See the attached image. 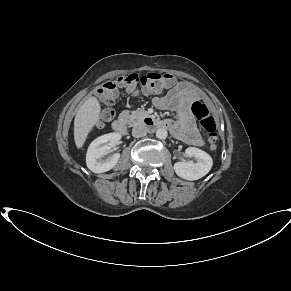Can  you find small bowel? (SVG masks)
<instances>
[{"label": "small bowel", "instance_id": "1", "mask_svg": "<svg viewBox=\"0 0 291 291\" xmlns=\"http://www.w3.org/2000/svg\"><path fill=\"white\" fill-rule=\"evenodd\" d=\"M200 95L193 86L186 81H179L162 97L153 100L160 110H173L178 112L177 120H166L165 124L171 133L187 144L203 146L204 140L196 127L190 111L192 102L198 100Z\"/></svg>", "mask_w": 291, "mask_h": 291}]
</instances>
